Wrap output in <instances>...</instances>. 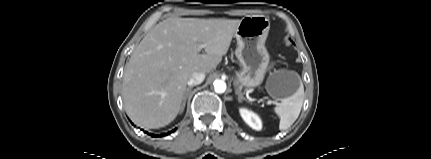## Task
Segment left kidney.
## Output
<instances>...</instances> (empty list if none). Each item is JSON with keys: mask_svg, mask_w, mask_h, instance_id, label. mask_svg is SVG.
<instances>
[{"mask_svg": "<svg viewBox=\"0 0 431 159\" xmlns=\"http://www.w3.org/2000/svg\"><path fill=\"white\" fill-rule=\"evenodd\" d=\"M240 115L243 118V120L253 129L255 130H261L262 128V122L260 118L253 112L241 108L240 109Z\"/></svg>", "mask_w": 431, "mask_h": 159, "instance_id": "5707ae66", "label": "left kidney"}]
</instances>
